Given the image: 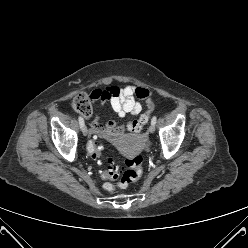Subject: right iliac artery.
Returning a JSON list of instances; mask_svg holds the SVG:
<instances>
[{
	"label": "right iliac artery",
	"mask_w": 248,
	"mask_h": 248,
	"mask_svg": "<svg viewBox=\"0 0 248 248\" xmlns=\"http://www.w3.org/2000/svg\"><path fill=\"white\" fill-rule=\"evenodd\" d=\"M78 120H79L80 127L83 128V126H84L83 118L81 116H79Z\"/></svg>",
	"instance_id": "obj_1"
}]
</instances>
